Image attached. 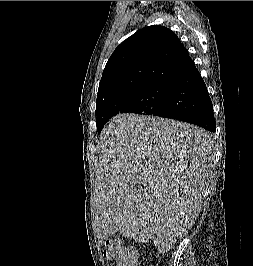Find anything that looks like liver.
I'll use <instances>...</instances> for the list:
<instances>
[{
	"label": "liver",
	"mask_w": 253,
	"mask_h": 266,
	"mask_svg": "<svg viewBox=\"0 0 253 266\" xmlns=\"http://www.w3.org/2000/svg\"><path fill=\"white\" fill-rule=\"evenodd\" d=\"M96 225L102 242L119 232L170 250L192 228L208 186L212 136L160 117L119 114L99 140Z\"/></svg>",
	"instance_id": "liver-1"
}]
</instances>
